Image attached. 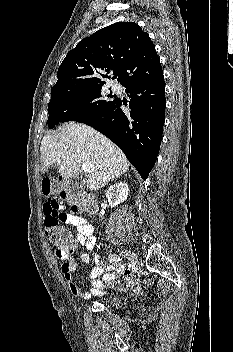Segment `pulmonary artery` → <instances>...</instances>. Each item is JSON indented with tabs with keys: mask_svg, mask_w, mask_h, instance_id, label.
<instances>
[{
	"mask_svg": "<svg viewBox=\"0 0 233 352\" xmlns=\"http://www.w3.org/2000/svg\"><path fill=\"white\" fill-rule=\"evenodd\" d=\"M113 89L114 90H119V86L115 84V85H113Z\"/></svg>",
	"mask_w": 233,
	"mask_h": 352,
	"instance_id": "e3ab8cb5",
	"label": "pulmonary artery"
}]
</instances>
